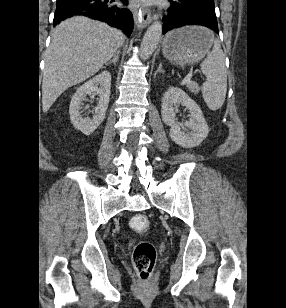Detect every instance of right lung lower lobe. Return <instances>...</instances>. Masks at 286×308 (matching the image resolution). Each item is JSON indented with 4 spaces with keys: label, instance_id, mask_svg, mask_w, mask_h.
<instances>
[{
    "label": "right lung lower lobe",
    "instance_id": "98d812e1",
    "mask_svg": "<svg viewBox=\"0 0 286 308\" xmlns=\"http://www.w3.org/2000/svg\"><path fill=\"white\" fill-rule=\"evenodd\" d=\"M115 0H57L54 25L73 15L89 16L123 30L129 37L133 30V16L129 10L111 5ZM127 3V0H121Z\"/></svg>",
    "mask_w": 286,
    "mask_h": 308
}]
</instances>
